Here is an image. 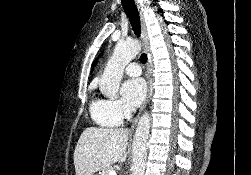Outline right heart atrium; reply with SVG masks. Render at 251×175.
<instances>
[{
  "label": "right heart atrium",
  "instance_id": "right-heart-atrium-1",
  "mask_svg": "<svg viewBox=\"0 0 251 175\" xmlns=\"http://www.w3.org/2000/svg\"><path fill=\"white\" fill-rule=\"evenodd\" d=\"M108 110L118 123H122L132 116V110L120 100L108 101Z\"/></svg>",
  "mask_w": 251,
  "mask_h": 175
}]
</instances>
